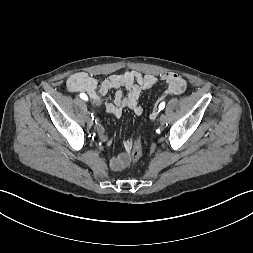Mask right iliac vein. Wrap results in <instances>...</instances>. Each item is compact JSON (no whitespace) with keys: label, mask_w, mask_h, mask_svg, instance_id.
<instances>
[{"label":"right iliac vein","mask_w":253,"mask_h":253,"mask_svg":"<svg viewBox=\"0 0 253 253\" xmlns=\"http://www.w3.org/2000/svg\"><path fill=\"white\" fill-rule=\"evenodd\" d=\"M87 123L89 126H92L93 125V119L92 117L90 116V114L87 116Z\"/></svg>","instance_id":"obj_1"}]
</instances>
